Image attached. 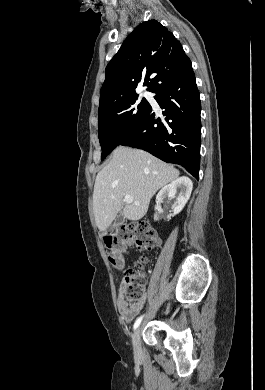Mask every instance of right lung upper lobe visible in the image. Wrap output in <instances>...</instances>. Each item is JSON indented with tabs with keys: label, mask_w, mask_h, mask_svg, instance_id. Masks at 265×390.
I'll return each mask as SVG.
<instances>
[{
	"label": "right lung upper lobe",
	"mask_w": 265,
	"mask_h": 390,
	"mask_svg": "<svg viewBox=\"0 0 265 390\" xmlns=\"http://www.w3.org/2000/svg\"><path fill=\"white\" fill-rule=\"evenodd\" d=\"M190 62L174 35L156 20L138 25L106 67L99 111L137 95L143 82L155 92Z\"/></svg>",
	"instance_id": "cb5924a9"
}]
</instances>
